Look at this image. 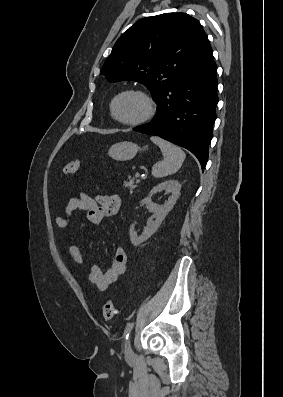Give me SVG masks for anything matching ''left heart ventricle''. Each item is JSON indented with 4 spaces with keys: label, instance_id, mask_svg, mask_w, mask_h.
<instances>
[{
    "label": "left heart ventricle",
    "instance_id": "1",
    "mask_svg": "<svg viewBox=\"0 0 283 397\" xmlns=\"http://www.w3.org/2000/svg\"><path fill=\"white\" fill-rule=\"evenodd\" d=\"M147 106L144 99L137 94L121 96L115 106L117 116L126 121L139 119L146 112Z\"/></svg>",
    "mask_w": 283,
    "mask_h": 397
}]
</instances>
